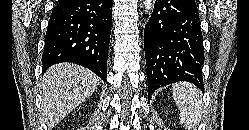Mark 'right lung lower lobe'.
<instances>
[{
	"instance_id": "right-lung-lower-lobe-1",
	"label": "right lung lower lobe",
	"mask_w": 249,
	"mask_h": 130,
	"mask_svg": "<svg viewBox=\"0 0 249 130\" xmlns=\"http://www.w3.org/2000/svg\"><path fill=\"white\" fill-rule=\"evenodd\" d=\"M112 0H67L51 13L42 55L44 71L70 62L107 77Z\"/></svg>"
}]
</instances>
